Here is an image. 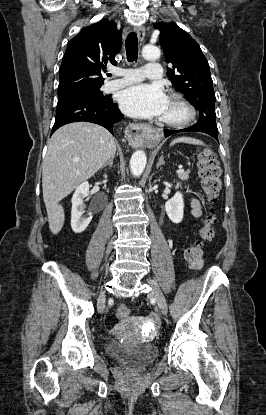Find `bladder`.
<instances>
[{
	"label": "bladder",
	"instance_id": "bladder-1",
	"mask_svg": "<svg viewBox=\"0 0 266 415\" xmlns=\"http://www.w3.org/2000/svg\"><path fill=\"white\" fill-rule=\"evenodd\" d=\"M105 350L110 357L132 369H142L148 366L158 355V348L153 343L128 346L115 339L106 344Z\"/></svg>",
	"mask_w": 266,
	"mask_h": 415
}]
</instances>
